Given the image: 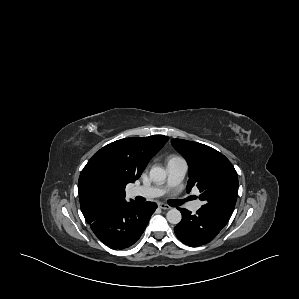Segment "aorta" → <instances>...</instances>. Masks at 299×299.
<instances>
[{
	"label": "aorta",
	"mask_w": 299,
	"mask_h": 299,
	"mask_svg": "<svg viewBox=\"0 0 299 299\" xmlns=\"http://www.w3.org/2000/svg\"><path fill=\"white\" fill-rule=\"evenodd\" d=\"M149 176L153 182L163 183L167 177V172L164 168L155 166L151 168ZM166 218L169 223L178 224L182 219V215L179 210L173 208L167 212Z\"/></svg>",
	"instance_id": "obj_1"
}]
</instances>
